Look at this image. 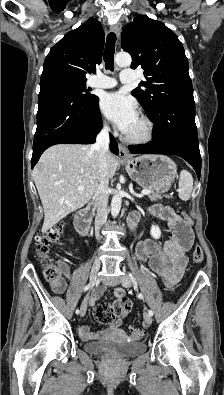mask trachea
<instances>
[{
	"label": "trachea",
	"instance_id": "obj_1",
	"mask_svg": "<svg viewBox=\"0 0 224 395\" xmlns=\"http://www.w3.org/2000/svg\"><path fill=\"white\" fill-rule=\"evenodd\" d=\"M115 42H116L115 33L112 32L109 33L107 36L103 58L105 62V68L111 71L114 70Z\"/></svg>",
	"mask_w": 224,
	"mask_h": 395
}]
</instances>
